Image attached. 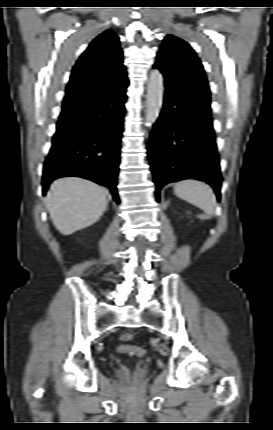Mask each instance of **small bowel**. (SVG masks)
<instances>
[{
	"label": "small bowel",
	"mask_w": 273,
	"mask_h": 430,
	"mask_svg": "<svg viewBox=\"0 0 273 430\" xmlns=\"http://www.w3.org/2000/svg\"><path fill=\"white\" fill-rule=\"evenodd\" d=\"M131 346H127V345H122V346H120V348L121 349H128V348H130Z\"/></svg>",
	"instance_id": "1"
}]
</instances>
